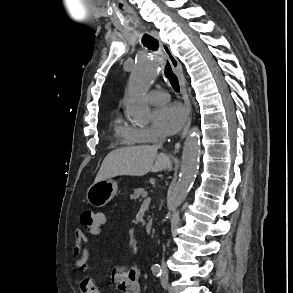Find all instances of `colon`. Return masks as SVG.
<instances>
[{
	"mask_svg": "<svg viewBox=\"0 0 293 293\" xmlns=\"http://www.w3.org/2000/svg\"><path fill=\"white\" fill-rule=\"evenodd\" d=\"M82 225L87 229L88 232H95L101 228V220L98 217V213L92 210H84L80 215ZM98 288L93 286L90 293H97Z\"/></svg>",
	"mask_w": 293,
	"mask_h": 293,
	"instance_id": "obj_1",
	"label": "colon"
}]
</instances>
